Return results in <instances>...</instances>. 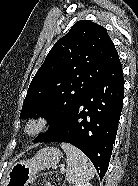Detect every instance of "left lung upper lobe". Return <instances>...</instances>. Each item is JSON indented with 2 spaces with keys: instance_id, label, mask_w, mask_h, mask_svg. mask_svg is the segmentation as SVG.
<instances>
[{
  "instance_id": "5c2ea615",
  "label": "left lung upper lobe",
  "mask_w": 138,
  "mask_h": 186,
  "mask_svg": "<svg viewBox=\"0 0 138 186\" xmlns=\"http://www.w3.org/2000/svg\"><path fill=\"white\" fill-rule=\"evenodd\" d=\"M119 61L104 27L76 22L48 53L30 83L21 118L46 114L50 128L36 141L58 130L93 85Z\"/></svg>"
}]
</instances>
